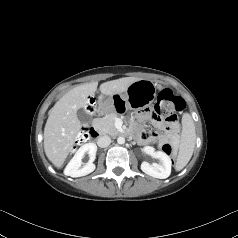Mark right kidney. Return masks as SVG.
Here are the masks:
<instances>
[{"instance_id": "1", "label": "right kidney", "mask_w": 238, "mask_h": 238, "mask_svg": "<svg viewBox=\"0 0 238 238\" xmlns=\"http://www.w3.org/2000/svg\"><path fill=\"white\" fill-rule=\"evenodd\" d=\"M97 146L94 143H87L82 145L75 153L64 170V174L71 177H81L90 174L95 170L93 163L96 158ZM89 155V161L82 166V158L84 154Z\"/></svg>"}]
</instances>
